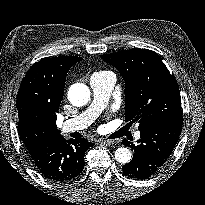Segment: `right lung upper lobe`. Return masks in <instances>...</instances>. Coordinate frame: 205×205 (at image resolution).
Returning a JSON list of instances; mask_svg holds the SVG:
<instances>
[{
	"mask_svg": "<svg viewBox=\"0 0 205 205\" xmlns=\"http://www.w3.org/2000/svg\"><path fill=\"white\" fill-rule=\"evenodd\" d=\"M80 57L44 58L36 62L23 78L16 107L18 131L26 148L60 138L56 114L64 94L65 79Z\"/></svg>",
	"mask_w": 205,
	"mask_h": 205,
	"instance_id": "right-lung-upper-lobe-1",
	"label": "right lung upper lobe"
}]
</instances>
